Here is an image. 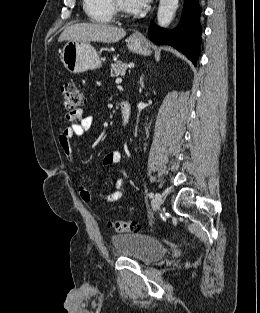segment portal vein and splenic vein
<instances>
[{
    "instance_id": "18ae733b",
    "label": "portal vein and splenic vein",
    "mask_w": 260,
    "mask_h": 313,
    "mask_svg": "<svg viewBox=\"0 0 260 313\" xmlns=\"http://www.w3.org/2000/svg\"><path fill=\"white\" fill-rule=\"evenodd\" d=\"M115 82H116L117 84H119V83L122 82V79H121V78H117V79L115 80Z\"/></svg>"
}]
</instances>
